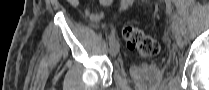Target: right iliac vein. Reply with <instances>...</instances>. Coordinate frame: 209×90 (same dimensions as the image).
Wrapping results in <instances>:
<instances>
[{"instance_id": "obj_1", "label": "right iliac vein", "mask_w": 209, "mask_h": 90, "mask_svg": "<svg viewBox=\"0 0 209 90\" xmlns=\"http://www.w3.org/2000/svg\"><path fill=\"white\" fill-rule=\"evenodd\" d=\"M119 51V42L117 40H115L111 45H110V49H109V53L111 56H116L118 54Z\"/></svg>"}]
</instances>
